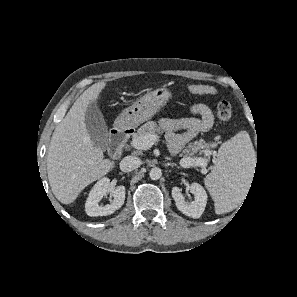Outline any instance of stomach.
I'll list each match as a JSON object with an SVG mask.
<instances>
[{"label":"stomach","instance_id":"stomach-1","mask_svg":"<svg viewBox=\"0 0 297 297\" xmlns=\"http://www.w3.org/2000/svg\"><path fill=\"white\" fill-rule=\"evenodd\" d=\"M172 97V92L164 87L147 92L132 106L125 109L115 122L118 128L135 127L152 118Z\"/></svg>","mask_w":297,"mask_h":297}]
</instances>
